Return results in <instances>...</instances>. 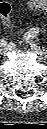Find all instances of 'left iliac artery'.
I'll use <instances>...</instances> for the list:
<instances>
[{
    "mask_svg": "<svg viewBox=\"0 0 47 129\" xmlns=\"http://www.w3.org/2000/svg\"><path fill=\"white\" fill-rule=\"evenodd\" d=\"M39 33V30L37 28L31 29L27 34L28 38H34Z\"/></svg>",
    "mask_w": 47,
    "mask_h": 129,
    "instance_id": "left-iliac-artery-1",
    "label": "left iliac artery"
}]
</instances>
